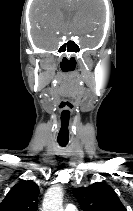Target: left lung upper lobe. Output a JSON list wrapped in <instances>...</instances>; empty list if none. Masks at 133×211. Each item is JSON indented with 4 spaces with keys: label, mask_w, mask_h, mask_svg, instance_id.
I'll list each match as a JSON object with an SVG mask.
<instances>
[{
    "label": "left lung upper lobe",
    "mask_w": 133,
    "mask_h": 211,
    "mask_svg": "<svg viewBox=\"0 0 133 211\" xmlns=\"http://www.w3.org/2000/svg\"><path fill=\"white\" fill-rule=\"evenodd\" d=\"M83 211H127L114 189L105 183H94L73 190Z\"/></svg>",
    "instance_id": "1"
}]
</instances>
